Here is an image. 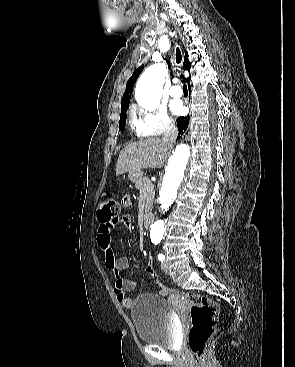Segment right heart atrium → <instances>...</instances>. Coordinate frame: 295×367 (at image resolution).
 <instances>
[{
    "label": "right heart atrium",
    "mask_w": 295,
    "mask_h": 367,
    "mask_svg": "<svg viewBox=\"0 0 295 367\" xmlns=\"http://www.w3.org/2000/svg\"><path fill=\"white\" fill-rule=\"evenodd\" d=\"M131 127L140 137L159 136L171 132L174 129V121L163 106H138L132 111Z\"/></svg>",
    "instance_id": "obj_1"
}]
</instances>
